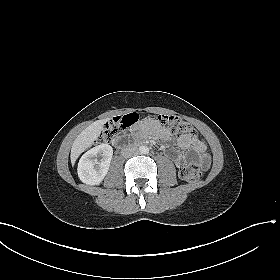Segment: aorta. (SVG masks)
<instances>
[{
	"instance_id": "762f6f07",
	"label": "aorta",
	"mask_w": 280,
	"mask_h": 280,
	"mask_svg": "<svg viewBox=\"0 0 280 280\" xmlns=\"http://www.w3.org/2000/svg\"><path fill=\"white\" fill-rule=\"evenodd\" d=\"M139 150H140V153H142V154L149 153V148L147 146H141Z\"/></svg>"
}]
</instances>
